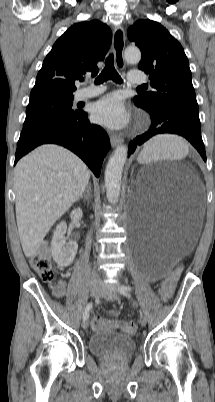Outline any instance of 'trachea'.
I'll return each instance as SVG.
<instances>
[{
	"label": "trachea",
	"mask_w": 215,
	"mask_h": 402,
	"mask_svg": "<svg viewBox=\"0 0 215 402\" xmlns=\"http://www.w3.org/2000/svg\"><path fill=\"white\" fill-rule=\"evenodd\" d=\"M113 80L116 83H122V78L116 71L114 67V57L113 54H110L106 59V64L100 75L96 78V84H102L107 80ZM144 86H139L138 88H143Z\"/></svg>",
	"instance_id": "trachea-1"
}]
</instances>
